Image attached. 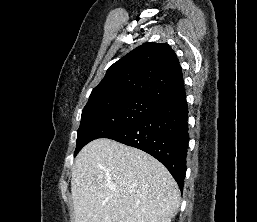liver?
Returning a JSON list of instances; mask_svg holds the SVG:
<instances>
[{
  "instance_id": "1",
  "label": "liver",
  "mask_w": 257,
  "mask_h": 222,
  "mask_svg": "<svg viewBox=\"0 0 257 222\" xmlns=\"http://www.w3.org/2000/svg\"><path fill=\"white\" fill-rule=\"evenodd\" d=\"M74 222H171L180 191L154 157L107 138L88 143L72 167Z\"/></svg>"
}]
</instances>
